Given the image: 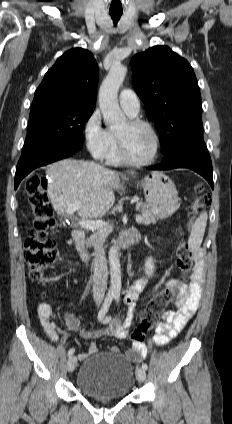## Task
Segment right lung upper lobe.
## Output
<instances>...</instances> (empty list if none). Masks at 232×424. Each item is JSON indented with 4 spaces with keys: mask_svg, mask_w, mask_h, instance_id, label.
Returning <instances> with one entry per match:
<instances>
[{
    "mask_svg": "<svg viewBox=\"0 0 232 424\" xmlns=\"http://www.w3.org/2000/svg\"><path fill=\"white\" fill-rule=\"evenodd\" d=\"M98 65L85 49L75 48L59 57L37 88L31 108L72 105L95 109Z\"/></svg>",
    "mask_w": 232,
    "mask_h": 424,
    "instance_id": "cb5924a9",
    "label": "right lung upper lobe"
}]
</instances>
